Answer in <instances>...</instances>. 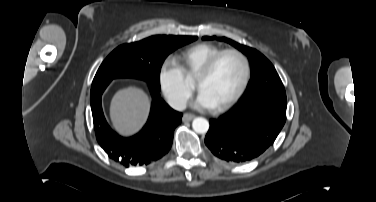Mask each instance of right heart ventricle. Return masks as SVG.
Wrapping results in <instances>:
<instances>
[{
	"mask_svg": "<svg viewBox=\"0 0 376 202\" xmlns=\"http://www.w3.org/2000/svg\"><path fill=\"white\" fill-rule=\"evenodd\" d=\"M222 48L211 43H199L177 53L173 61L187 80H194L205 62Z\"/></svg>",
	"mask_w": 376,
	"mask_h": 202,
	"instance_id": "1",
	"label": "right heart ventricle"
}]
</instances>
